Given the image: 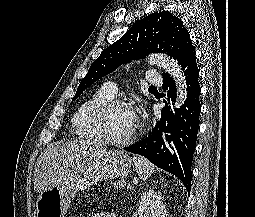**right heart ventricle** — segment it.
<instances>
[{
    "label": "right heart ventricle",
    "mask_w": 255,
    "mask_h": 217,
    "mask_svg": "<svg viewBox=\"0 0 255 217\" xmlns=\"http://www.w3.org/2000/svg\"><path fill=\"white\" fill-rule=\"evenodd\" d=\"M112 98L113 96L105 87H101L79 105L71 121L72 127L79 138L93 141L102 140L95 129L93 114L99 106Z\"/></svg>",
    "instance_id": "1"
}]
</instances>
